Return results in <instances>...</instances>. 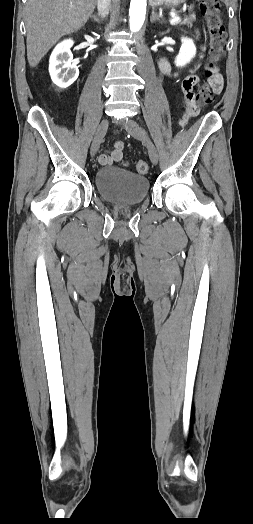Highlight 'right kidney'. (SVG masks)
<instances>
[{
  "label": "right kidney",
  "mask_w": 253,
  "mask_h": 524,
  "mask_svg": "<svg viewBox=\"0 0 253 524\" xmlns=\"http://www.w3.org/2000/svg\"><path fill=\"white\" fill-rule=\"evenodd\" d=\"M74 42L71 39L59 43L53 50L49 60V73L54 84L60 88L70 86L79 75L76 65L72 64L73 55L70 48Z\"/></svg>",
  "instance_id": "obj_1"
}]
</instances>
